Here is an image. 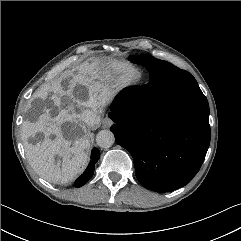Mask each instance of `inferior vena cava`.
<instances>
[{
    "instance_id": "602c4592",
    "label": "inferior vena cava",
    "mask_w": 241,
    "mask_h": 241,
    "mask_svg": "<svg viewBox=\"0 0 241 241\" xmlns=\"http://www.w3.org/2000/svg\"><path fill=\"white\" fill-rule=\"evenodd\" d=\"M97 117L96 111L86 109L81 114V121L86 123L87 125H92Z\"/></svg>"
}]
</instances>
